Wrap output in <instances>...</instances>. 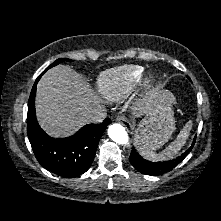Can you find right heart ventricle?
Wrapping results in <instances>:
<instances>
[{
	"label": "right heart ventricle",
	"instance_id": "right-heart-ventricle-1",
	"mask_svg": "<svg viewBox=\"0 0 221 221\" xmlns=\"http://www.w3.org/2000/svg\"><path fill=\"white\" fill-rule=\"evenodd\" d=\"M143 72L139 65H124L102 72L97 80L98 91L108 101L118 102L131 92Z\"/></svg>",
	"mask_w": 221,
	"mask_h": 221
}]
</instances>
